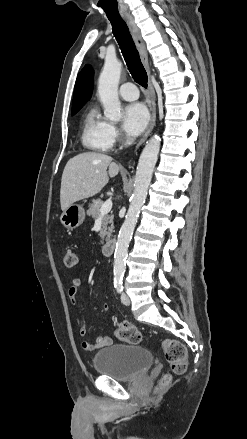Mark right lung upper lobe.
Segmentation results:
<instances>
[{
    "label": "right lung upper lobe",
    "instance_id": "obj_1",
    "mask_svg": "<svg viewBox=\"0 0 247 439\" xmlns=\"http://www.w3.org/2000/svg\"><path fill=\"white\" fill-rule=\"evenodd\" d=\"M93 70L90 66H85L78 74L72 104V111L81 109V107L91 98L93 85Z\"/></svg>",
    "mask_w": 247,
    "mask_h": 439
}]
</instances>
